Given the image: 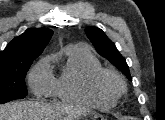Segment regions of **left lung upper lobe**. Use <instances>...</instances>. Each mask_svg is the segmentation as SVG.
Listing matches in <instances>:
<instances>
[{
  "label": "left lung upper lobe",
  "instance_id": "obj_1",
  "mask_svg": "<svg viewBox=\"0 0 165 120\" xmlns=\"http://www.w3.org/2000/svg\"><path fill=\"white\" fill-rule=\"evenodd\" d=\"M87 37L91 40L96 51L108 59L117 67L130 81H132L129 67L124 57L119 53L114 43L97 27H87L85 29Z\"/></svg>",
  "mask_w": 165,
  "mask_h": 120
}]
</instances>
